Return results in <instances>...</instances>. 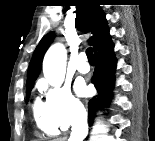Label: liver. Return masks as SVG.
<instances>
[{
    "label": "liver",
    "instance_id": "6515ba94",
    "mask_svg": "<svg viewBox=\"0 0 155 141\" xmlns=\"http://www.w3.org/2000/svg\"><path fill=\"white\" fill-rule=\"evenodd\" d=\"M55 141H65V138H59V139H57Z\"/></svg>",
    "mask_w": 155,
    "mask_h": 141
}]
</instances>
